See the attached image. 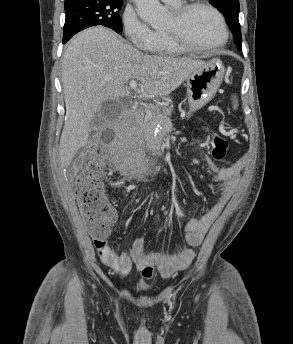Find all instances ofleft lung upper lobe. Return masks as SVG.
Wrapping results in <instances>:
<instances>
[{"label":"left lung upper lobe","mask_w":293,"mask_h":344,"mask_svg":"<svg viewBox=\"0 0 293 344\" xmlns=\"http://www.w3.org/2000/svg\"><path fill=\"white\" fill-rule=\"evenodd\" d=\"M210 3L215 6L226 18L227 24L232 31L234 40L238 49L242 50V35L240 24L238 20L239 15V1L238 0H210Z\"/></svg>","instance_id":"obj_1"}]
</instances>
